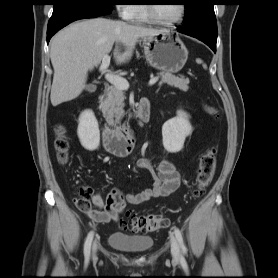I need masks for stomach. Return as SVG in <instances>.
<instances>
[{
	"mask_svg": "<svg viewBox=\"0 0 278 278\" xmlns=\"http://www.w3.org/2000/svg\"><path fill=\"white\" fill-rule=\"evenodd\" d=\"M147 62L155 69L165 73H177L188 59V51L178 36L162 32L143 39Z\"/></svg>",
	"mask_w": 278,
	"mask_h": 278,
	"instance_id": "obj_1",
	"label": "stomach"
}]
</instances>
